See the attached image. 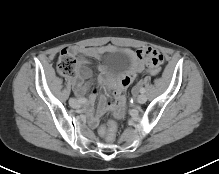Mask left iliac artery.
Returning a JSON list of instances; mask_svg holds the SVG:
<instances>
[{
    "label": "left iliac artery",
    "instance_id": "44dca946",
    "mask_svg": "<svg viewBox=\"0 0 219 174\" xmlns=\"http://www.w3.org/2000/svg\"><path fill=\"white\" fill-rule=\"evenodd\" d=\"M140 93H145V89H144V88H141V89H140Z\"/></svg>",
    "mask_w": 219,
    "mask_h": 174
}]
</instances>
